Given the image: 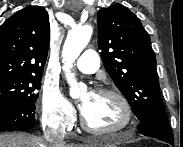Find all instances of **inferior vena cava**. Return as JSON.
<instances>
[{
    "mask_svg": "<svg viewBox=\"0 0 183 147\" xmlns=\"http://www.w3.org/2000/svg\"><path fill=\"white\" fill-rule=\"evenodd\" d=\"M65 135V130H47L44 133V139L50 146H54V144L55 146H63Z\"/></svg>",
    "mask_w": 183,
    "mask_h": 147,
    "instance_id": "1",
    "label": "inferior vena cava"
}]
</instances>
